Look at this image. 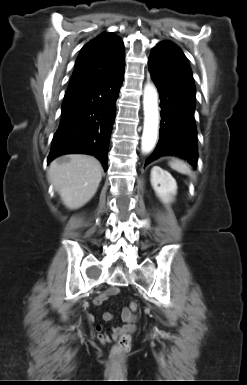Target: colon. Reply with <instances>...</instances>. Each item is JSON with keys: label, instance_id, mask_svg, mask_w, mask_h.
Here are the masks:
<instances>
[{"label": "colon", "instance_id": "colon-1", "mask_svg": "<svg viewBox=\"0 0 247 385\" xmlns=\"http://www.w3.org/2000/svg\"><path fill=\"white\" fill-rule=\"evenodd\" d=\"M139 308V305L137 302H132L129 306V312L135 313ZM131 343V336L128 333H123L118 342L113 346L112 348V356L113 357H120L130 346Z\"/></svg>", "mask_w": 247, "mask_h": 385}]
</instances>
